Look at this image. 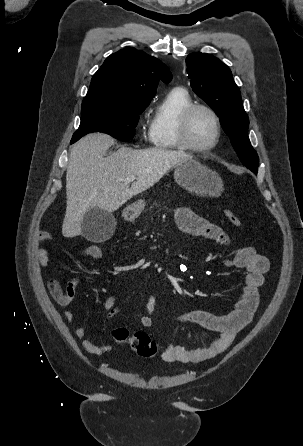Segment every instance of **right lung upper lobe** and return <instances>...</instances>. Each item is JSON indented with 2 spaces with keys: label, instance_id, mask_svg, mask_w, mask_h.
<instances>
[{
  "label": "right lung upper lobe",
  "instance_id": "1",
  "mask_svg": "<svg viewBox=\"0 0 303 446\" xmlns=\"http://www.w3.org/2000/svg\"><path fill=\"white\" fill-rule=\"evenodd\" d=\"M171 78L160 60L127 47L108 56L94 74L82 106H148L159 80L168 83Z\"/></svg>",
  "mask_w": 303,
  "mask_h": 446
}]
</instances>
